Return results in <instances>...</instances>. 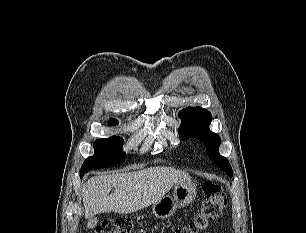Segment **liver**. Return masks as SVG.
I'll return each instance as SVG.
<instances>
[{"label": "liver", "mask_w": 306, "mask_h": 233, "mask_svg": "<svg viewBox=\"0 0 306 233\" xmlns=\"http://www.w3.org/2000/svg\"><path fill=\"white\" fill-rule=\"evenodd\" d=\"M180 181H191V177L169 167L94 176L82 188L85 218L107 212H136L158 202ZM112 188L115 190L109 195Z\"/></svg>", "instance_id": "liver-1"}]
</instances>
